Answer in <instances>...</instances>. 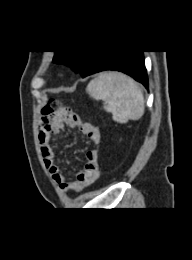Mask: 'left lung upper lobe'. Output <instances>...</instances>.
Masks as SVG:
<instances>
[{
  "mask_svg": "<svg viewBox=\"0 0 192 260\" xmlns=\"http://www.w3.org/2000/svg\"><path fill=\"white\" fill-rule=\"evenodd\" d=\"M97 51H55L53 61L65 64L83 76Z\"/></svg>",
  "mask_w": 192,
  "mask_h": 260,
  "instance_id": "obj_1",
  "label": "left lung upper lobe"
}]
</instances>
